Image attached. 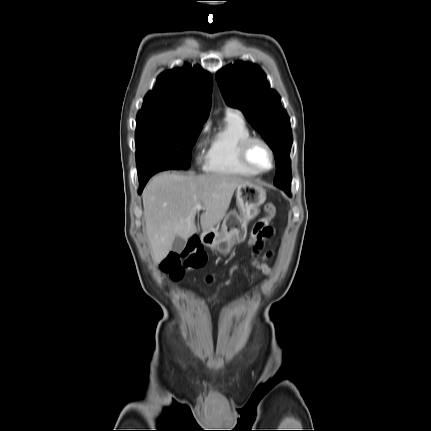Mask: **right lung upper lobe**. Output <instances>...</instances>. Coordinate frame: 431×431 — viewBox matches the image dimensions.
Returning <instances> with one entry per match:
<instances>
[{
    "label": "right lung upper lobe",
    "mask_w": 431,
    "mask_h": 431,
    "mask_svg": "<svg viewBox=\"0 0 431 431\" xmlns=\"http://www.w3.org/2000/svg\"><path fill=\"white\" fill-rule=\"evenodd\" d=\"M212 76L186 64L163 72L148 92L137 119L160 118L203 124L211 105Z\"/></svg>",
    "instance_id": "obj_1"
}]
</instances>
